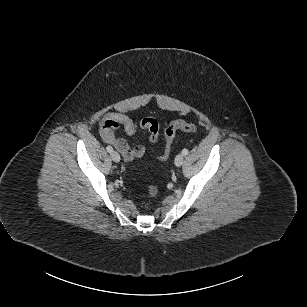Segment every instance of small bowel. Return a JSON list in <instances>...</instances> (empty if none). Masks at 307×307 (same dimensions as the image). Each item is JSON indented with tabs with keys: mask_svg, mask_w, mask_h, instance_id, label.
Returning <instances> with one entry per match:
<instances>
[{
	"mask_svg": "<svg viewBox=\"0 0 307 307\" xmlns=\"http://www.w3.org/2000/svg\"><path fill=\"white\" fill-rule=\"evenodd\" d=\"M122 127L127 135H134L137 130L149 134V141L155 143L159 136V125L153 118H144L137 125L129 116L119 112H109L99 124V132L104 142L113 145L126 161H133L145 154L144 145L137 143L130 146L123 138L116 136V129Z\"/></svg>",
	"mask_w": 307,
	"mask_h": 307,
	"instance_id": "small-bowel-1",
	"label": "small bowel"
}]
</instances>
